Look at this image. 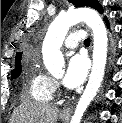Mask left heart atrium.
Wrapping results in <instances>:
<instances>
[{"mask_svg":"<svg viewBox=\"0 0 122 123\" xmlns=\"http://www.w3.org/2000/svg\"><path fill=\"white\" fill-rule=\"evenodd\" d=\"M87 73V59L82 54H75L68 61L63 83L69 89L78 88L85 81Z\"/></svg>","mask_w":122,"mask_h":123,"instance_id":"1","label":"left heart atrium"}]
</instances>
